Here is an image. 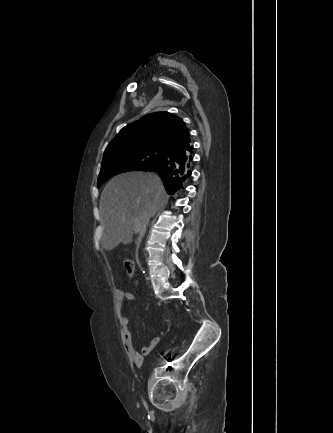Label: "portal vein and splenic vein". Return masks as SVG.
Here are the masks:
<instances>
[{"mask_svg":"<svg viewBox=\"0 0 333 433\" xmlns=\"http://www.w3.org/2000/svg\"><path fill=\"white\" fill-rule=\"evenodd\" d=\"M134 223H135V226H136L135 232L141 233V225H140V222H139V220L137 218L134 220Z\"/></svg>","mask_w":333,"mask_h":433,"instance_id":"portal-vein-and-splenic-vein-1","label":"portal vein and splenic vein"}]
</instances>
